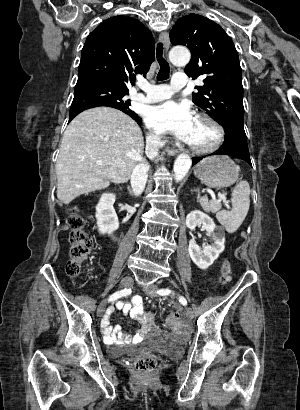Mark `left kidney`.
<instances>
[{
	"mask_svg": "<svg viewBox=\"0 0 300 410\" xmlns=\"http://www.w3.org/2000/svg\"><path fill=\"white\" fill-rule=\"evenodd\" d=\"M211 235L214 243L206 245L203 250L197 245L195 239L189 241L188 252L192 261L200 268L207 269L224 251L225 233L222 228H217L213 219L202 211L194 210L186 217V226L193 230L201 226Z\"/></svg>",
	"mask_w": 300,
	"mask_h": 410,
	"instance_id": "1",
	"label": "left kidney"
}]
</instances>
